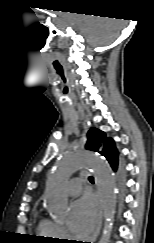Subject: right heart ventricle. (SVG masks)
Here are the masks:
<instances>
[{"mask_svg": "<svg viewBox=\"0 0 154 243\" xmlns=\"http://www.w3.org/2000/svg\"><path fill=\"white\" fill-rule=\"evenodd\" d=\"M37 232L46 238L55 239L58 237V225L47 218H40Z\"/></svg>", "mask_w": 154, "mask_h": 243, "instance_id": "obj_1", "label": "right heart ventricle"}]
</instances>
